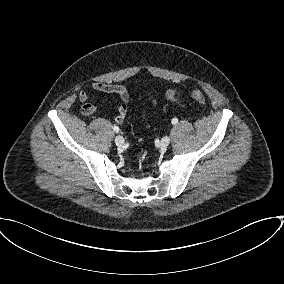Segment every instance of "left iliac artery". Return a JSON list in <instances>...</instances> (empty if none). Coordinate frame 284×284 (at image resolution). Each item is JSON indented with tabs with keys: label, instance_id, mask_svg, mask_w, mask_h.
I'll list each match as a JSON object with an SVG mask.
<instances>
[{
	"label": "left iliac artery",
	"instance_id": "44dca946",
	"mask_svg": "<svg viewBox=\"0 0 284 284\" xmlns=\"http://www.w3.org/2000/svg\"><path fill=\"white\" fill-rule=\"evenodd\" d=\"M177 123H178V119H177V118H173V119H172V124L175 125V124H177Z\"/></svg>",
	"mask_w": 284,
	"mask_h": 284
}]
</instances>
